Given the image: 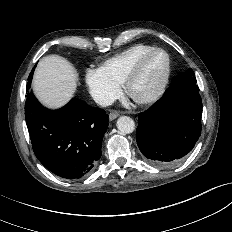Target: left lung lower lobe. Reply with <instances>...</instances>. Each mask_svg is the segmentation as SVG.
Masks as SVG:
<instances>
[{"instance_id":"left-lung-lower-lobe-1","label":"left lung lower lobe","mask_w":232,"mask_h":232,"mask_svg":"<svg viewBox=\"0 0 232 232\" xmlns=\"http://www.w3.org/2000/svg\"><path fill=\"white\" fill-rule=\"evenodd\" d=\"M199 89L183 88L174 77L163 97L139 114L136 141L152 165L173 167L182 162L201 134Z\"/></svg>"}]
</instances>
